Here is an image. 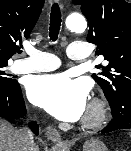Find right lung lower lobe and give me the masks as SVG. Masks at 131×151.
Segmentation results:
<instances>
[{
  "label": "right lung lower lobe",
  "mask_w": 131,
  "mask_h": 151,
  "mask_svg": "<svg viewBox=\"0 0 131 151\" xmlns=\"http://www.w3.org/2000/svg\"><path fill=\"white\" fill-rule=\"evenodd\" d=\"M25 113V102L19 83L16 81L11 85H0V117L11 120L20 118ZM29 126L38 135V125L34 122L29 123Z\"/></svg>",
  "instance_id": "1"
}]
</instances>
